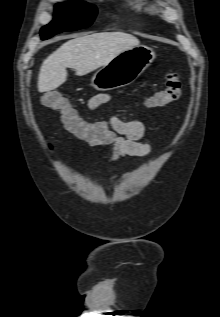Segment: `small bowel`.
<instances>
[{"label": "small bowel", "instance_id": "c3829d8e", "mask_svg": "<svg viewBox=\"0 0 220 317\" xmlns=\"http://www.w3.org/2000/svg\"><path fill=\"white\" fill-rule=\"evenodd\" d=\"M108 100L107 94H98L90 99L88 106L93 110ZM73 133L90 147L111 145V162L128 157H143L151 150L149 144L139 141L146 134L144 123L137 120L123 121L115 115H110L106 123H85L84 130Z\"/></svg>", "mask_w": 220, "mask_h": 317}]
</instances>
